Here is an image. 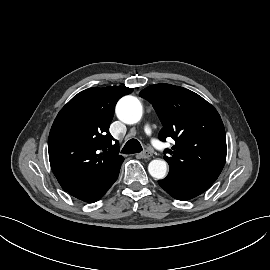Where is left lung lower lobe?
Here are the masks:
<instances>
[{
    "instance_id": "obj_1",
    "label": "left lung lower lobe",
    "mask_w": 270,
    "mask_h": 270,
    "mask_svg": "<svg viewBox=\"0 0 270 270\" xmlns=\"http://www.w3.org/2000/svg\"><path fill=\"white\" fill-rule=\"evenodd\" d=\"M204 175L195 173H169L159 180V185L178 200H189L205 192L214 182Z\"/></svg>"
}]
</instances>
